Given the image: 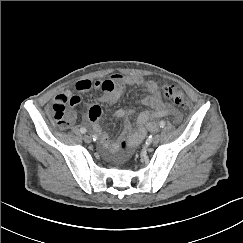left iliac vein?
<instances>
[{
	"label": "left iliac vein",
	"instance_id": "left-iliac-vein-1",
	"mask_svg": "<svg viewBox=\"0 0 243 243\" xmlns=\"http://www.w3.org/2000/svg\"><path fill=\"white\" fill-rule=\"evenodd\" d=\"M160 141V136L159 135H154L151 139V143L153 144H158Z\"/></svg>",
	"mask_w": 243,
	"mask_h": 243
}]
</instances>
